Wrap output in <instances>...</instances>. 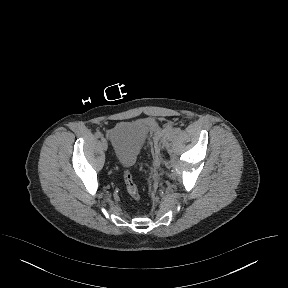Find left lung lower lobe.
Masks as SVG:
<instances>
[{
    "label": "left lung lower lobe",
    "mask_w": 288,
    "mask_h": 288,
    "mask_svg": "<svg viewBox=\"0 0 288 288\" xmlns=\"http://www.w3.org/2000/svg\"><path fill=\"white\" fill-rule=\"evenodd\" d=\"M254 212V216H257V219L254 220L249 226V232L250 233H258L262 229V205L261 204H254L253 207L250 210V213Z\"/></svg>",
    "instance_id": "0a47b994"
}]
</instances>
